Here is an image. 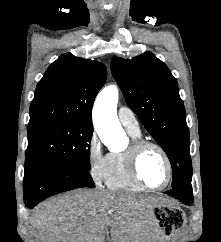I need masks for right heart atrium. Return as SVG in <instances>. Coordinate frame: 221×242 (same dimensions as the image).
<instances>
[{
    "label": "right heart atrium",
    "instance_id": "1",
    "mask_svg": "<svg viewBox=\"0 0 221 242\" xmlns=\"http://www.w3.org/2000/svg\"><path fill=\"white\" fill-rule=\"evenodd\" d=\"M87 162L89 173L96 184L104 180L108 154L103 152L101 142L95 132H93L86 146Z\"/></svg>",
    "mask_w": 221,
    "mask_h": 242
}]
</instances>
